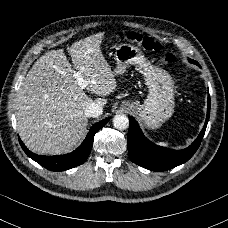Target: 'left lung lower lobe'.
Here are the masks:
<instances>
[{
  "mask_svg": "<svg viewBox=\"0 0 228 228\" xmlns=\"http://www.w3.org/2000/svg\"><path fill=\"white\" fill-rule=\"evenodd\" d=\"M210 115V95L208 94L207 117L203 129L196 140L186 149L173 150L160 147L149 141L141 132L137 121L129 116L127 135L128 153L131 160L152 171H166L188 161L200 146Z\"/></svg>",
  "mask_w": 228,
  "mask_h": 228,
  "instance_id": "obj_1",
  "label": "left lung lower lobe"
}]
</instances>
